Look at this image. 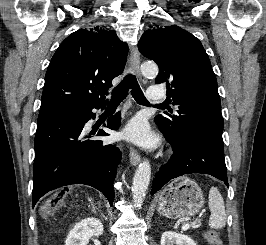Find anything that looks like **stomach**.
Instances as JSON below:
<instances>
[{
	"instance_id": "0dacf381",
	"label": "stomach",
	"mask_w": 266,
	"mask_h": 245,
	"mask_svg": "<svg viewBox=\"0 0 266 245\" xmlns=\"http://www.w3.org/2000/svg\"><path fill=\"white\" fill-rule=\"evenodd\" d=\"M203 205L204 195L199 185L189 177H179L160 193L158 211L168 219H184L199 213Z\"/></svg>"
}]
</instances>
